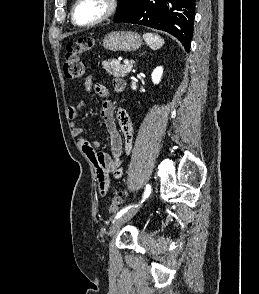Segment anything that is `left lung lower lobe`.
<instances>
[{"instance_id":"0a47b994","label":"left lung lower lobe","mask_w":259,"mask_h":294,"mask_svg":"<svg viewBox=\"0 0 259 294\" xmlns=\"http://www.w3.org/2000/svg\"><path fill=\"white\" fill-rule=\"evenodd\" d=\"M196 0H135L114 22L145 25L175 36L187 52L193 35Z\"/></svg>"}]
</instances>
